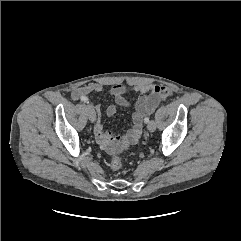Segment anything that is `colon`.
Wrapping results in <instances>:
<instances>
[{"mask_svg":"<svg viewBox=\"0 0 241 241\" xmlns=\"http://www.w3.org/2000/svg\"><path fill=\"white\" fill-rule=\"evenodd\" d=\"M122 165H123V161H122V158L120 156H114L111 159L110 166L113 170L121 169Z\"/></svg>","mask_w":241,"mask_h":241,"instance_id":"5ec220e1","label":"colon"}]
</instances>
